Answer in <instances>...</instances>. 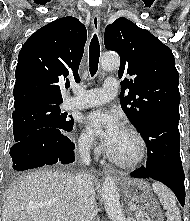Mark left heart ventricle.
<instances>
[{
	"mask_svg": "<svg viewBox=\"0 0 190 221\" xmlns=\"http://www.w3.org/2000/svg\"><path fill=\"white\" fill-rule=\"evenodd\" d=\"M107 150L120 160L131 161L139 154V144L131 133L122 129L118 137Z\"/></svg>",
	"mask_w": 190,
	"mask_h": 221,
	"instance_id": "obj_1",
	"label": "left heart ventricle"
}]
</instances>
